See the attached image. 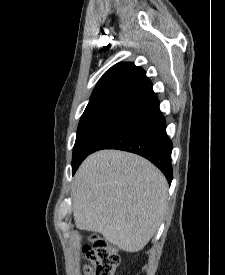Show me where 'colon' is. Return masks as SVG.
Returning a JSON list of instances; mask_svg holds the SVG:
<instances>
[{"instance_id": "1", "label": "colon", "mask_w": 225, "mask_h": 275, "mask_svg": "<svg viewBox=\"0 0 225 275\" xmlns=\"http://www.w3.org/2000/svg\"><path fill=\"white\" fill-rule=\"evenodd\" d=\"M90 242L84 248L85 257L90 263L85 267V275H114L120 263L117 250L98 235H92Z\"/></svg>"}]
</instances>
